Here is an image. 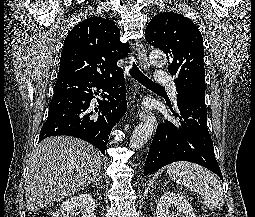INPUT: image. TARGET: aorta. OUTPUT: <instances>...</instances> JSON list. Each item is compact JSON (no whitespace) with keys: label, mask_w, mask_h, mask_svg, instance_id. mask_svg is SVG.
<instances>
[{"label":"aorta","mask_w":255,"mask_h":217,"mask_svg":"<svg viewBox=\"0 0 255 217\" xmlns=\"http://www.w3.org/2000/svg\"><path fill=\"white\" fill-rule=\"evenodd\" d=\"M150 62L157 66L162 67L167 63L165 54L160 50H153L149 53ZM155 128V123L152 120H146L139 124L133 131L130 138V148L140 149L144 146L151 137Z\"/></svg>","instance_id":"762f6f07"}]
</instances>
